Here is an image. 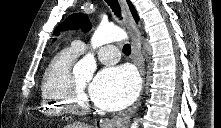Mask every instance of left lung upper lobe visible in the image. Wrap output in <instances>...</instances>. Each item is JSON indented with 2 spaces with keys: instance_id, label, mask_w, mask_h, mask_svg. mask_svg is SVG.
Returning a JSON list of instances; mask_svg holds the SVG:
<instances>
[{
  "instance_id": "1",
  "label": "left lung upper lobe",
  "mask_w": 221,
  "mask_h": 128,
  "mask_svg": "<svg viewBox=\"0 0 221 128\" xmlns=\"http://www.w3.org/2000/svg\"><path fill=\"white\" fill-rule=\"evenodd\" d=\"M65 29H78L81 28L84 32H87L91 28V24L86 15L81 13L73 14L69 16L65 23L62 24Z\"/></svg>"
}]
</instances>
